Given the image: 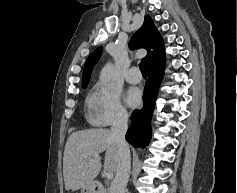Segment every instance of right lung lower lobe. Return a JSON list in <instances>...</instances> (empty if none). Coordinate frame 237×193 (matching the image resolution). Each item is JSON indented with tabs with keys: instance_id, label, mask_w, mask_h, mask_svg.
<instances>
[{
	"instance_id": "98d812e1",
	"label": "right lung lower lobe",
	"mask_w": 237,
	"mask_h": 193,
	"mask_svg": "<svg viewBox=\"0 0 237 193\" xmlns=\"http://www.w3.org/2000/svg\"><path fill=\"white\" fill-rule=\"evenodd\" d=\"M148 67V80L143 94V107L131 115V127L126 133V140L134 147L144 148L150 140V119L155 107L159 85L164 75L165 56Z\"/></svg>"
}]
</instances>
